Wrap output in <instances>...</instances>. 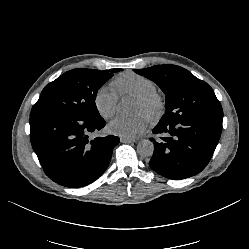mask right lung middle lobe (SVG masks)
I'll list each match as a JSON object with an SVG mask.
<instances>
[{"label":"right lung middle lobe","instance_id":"1","mask_svg":"<svg viewBox=\"0 0 249 249\" xmlns=\"http://www.w3.org/2000/svg\"><path fill=\"white\" fill-rule=\"evenodd\" d=\"M118 71L121 69L99 71L78 68L64 73L42 90L30 117L46 113H67L82 118H100L95 104L97 92Z\"/></svg>","mask_w":249,"mask_h":249}]
</instances>
